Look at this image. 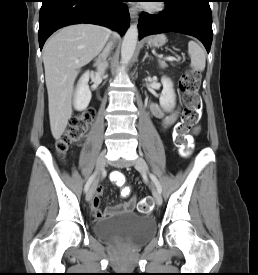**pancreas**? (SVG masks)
<instances>
[{
    "instance_id": "pancreas-1",
    "label": "pancreas",
    "mask_w": 258,
    "mask_h": 275,
    "mask_svg": "<svg viewBox=\"0 0 258 275\" xmlns=\"http://www.w3.org/2000/svg\"><path fill=\"white\" fill-rule=\"evenodd\" d=\"M159 66L164 69L167 67V64L164 61L159 60Z\"/></svg>"
}]
</instances>
